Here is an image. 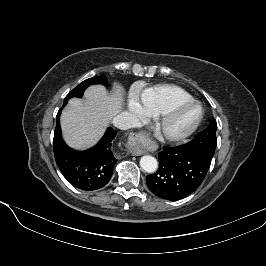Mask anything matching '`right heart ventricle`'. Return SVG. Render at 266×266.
Returning a JSON list of instances; mask_svg holds the SVG:
<instances>
[{
  "label": "right heart ventricle",
  "instance_id": "1",
  "mask_svg": "<svg viewBox=\"0 0 266 266\" xmlns=\"http://www.w3.org/2000/svg\"><path fill=\"white\" fill-rule=\"evenodd\" d=\"M193 100L184 89L169 84L147 88L142 93V104L150 116H159L175 105Z\"/></svg>",
  "mask_w": 266,
  "mask_h": 266
}]
</instances>
